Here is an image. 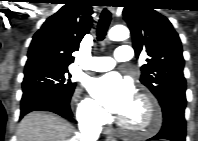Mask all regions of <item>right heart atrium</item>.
I'll return each mask as SVG.
<instances>
[{"mask_svg": "<svg viewBox=\"0 0 198 141\" xmlns=\"http://www.w3.org/2000/svg\"><path fill=\"white\" fill-rule=\"evenodd\" d=\"M77 118L88 124H102L106 120L105 112L91 98H84L76 103Z\"/></svg>", "mask_w": 198, "mask_h": 141, "instance_id": "d8ad5b80", "label": "right heart atrium"}]
</instances>
